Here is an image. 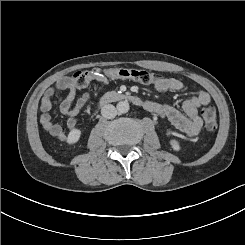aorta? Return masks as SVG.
I'll return each instance as SVG.
<instances>
[{"label":"aorta","mask_w":245,"mask_h":245,"mask_svg":"<svg viewBox=\"0 0 245 245\" xmlns=\"http://www.w3.org/2000/svg\"><path fill=\"white\" fill-rule=\"evenodd\" d=\"M130 109L128 101H120L117 103V110L119 113L124 114L127 113Z\"/></svg>","instance_id":"1"}]
</instances>
